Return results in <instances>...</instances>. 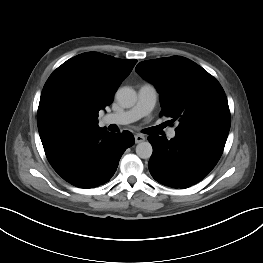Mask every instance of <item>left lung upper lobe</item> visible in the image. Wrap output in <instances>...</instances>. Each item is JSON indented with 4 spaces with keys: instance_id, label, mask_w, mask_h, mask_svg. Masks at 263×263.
<instances>
[{
    "instance_id": "1",
    "label": "left lung upper lobe",
    "mask_w": 263,
    "mask_h": 263,
    "mask_svg": "<svg viewBox=\"0 0 263 263\" xmlns=\"http://www.w3.org/2000/svg\"><path fill=\"white\" fill-rule=\"evenodd\" d=\"M135 71L155 85L161 115L179 122L175 131L228 135L231 117L225 92L198 64L174 56L142 61Z\"/></svg>"
}]
</instances>
